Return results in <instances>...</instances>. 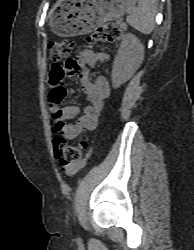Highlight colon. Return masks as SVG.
<instances>
[{
    "instance_id": "1",
    "label": "colon",
    "mask_w": 194,
    "mask_h": 250,
    "mask_svg": "<svg viewBox=\"0 0 194 250\" xmlns=\"http://www.w3.org/2000/svg\"><path fill=\"white\" fill-rule=\"evenodd\" d=\"M123 37V31L113 23H105L98 26L90 35L89 39L92 42L117 43ZM75 48V43L71 40H60L51 43L49 50L50 56L54 60L67 58ZM62 74L50 73V82L53 89L50 94V101L55 104H60L65 96L66 90L62 86ZM54 153L55 157L62 169L70 167L72 164L79 161L83 149L86 147V142L81 141L78 145H70L67 140L59 133L54 138Z\"/></svg>"
}]
</instances>
